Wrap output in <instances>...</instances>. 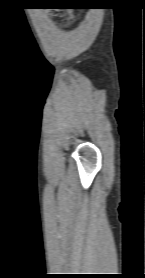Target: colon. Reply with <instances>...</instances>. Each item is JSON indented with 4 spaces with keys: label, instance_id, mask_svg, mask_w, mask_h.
Returning <instances> with one entry per match:
<instances>
[{
    "label": "colon",
    "instance_id": "obj_1",
    "mask_svg": "<svg viewBox=\"0 0 145 278\" xmlns=\"http://www.w3.org/2000/svg\"><path fill=\"white\" fill-rule=\"evenodd\" d=\"M55 8H59V9H56V10H61L60 8H71V7H55Z\"/></svg>",
    "mask_w": 145,
    "mask_h": 278
}]
</instances>
